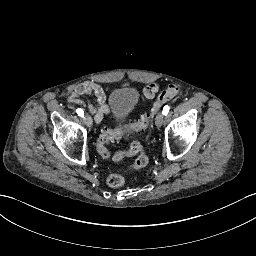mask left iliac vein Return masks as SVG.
Segmentation results:
<instances>
[{
	"instance_id": "1",
	"label": "left iliac vein",
	"mask_w": 256,
	"mask_h": 256,
	"mask_svg": "<svg viewBox=\"0 0 256 256\" xmlns=\"http://www.w3.org/2000/svg\"><path fill=\"white\" fill-rule=\"evenodd\" d=\"M163 122H164V115L162 113H158L155 120L156 126L158 128L161 127L163 125Z\"/></svg>"
}]
</instances>
